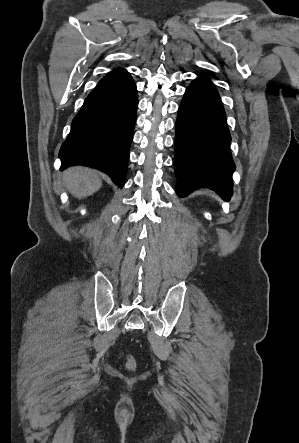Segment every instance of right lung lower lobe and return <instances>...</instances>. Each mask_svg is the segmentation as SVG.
<instances>
[{
	"label": "right lung lower lobe",
	"instance_id": "98d812e1",
	"mask_svg": "<svg viewBox=\"0 0 299 443\" xmlns=\"http://www.w3.org/2000/svg\"><path fill=\"white\" fill-rule=\"evenodd\" d=\"M136 85L125 70L103 77L73 119L59 157L61 170L83 164L110 175L123 187L136 121Z\"/></svg>",
	"mask_w": 299,
	"mask_h": 443
}]
</instances>
